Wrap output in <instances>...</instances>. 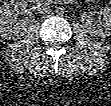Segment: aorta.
Returning <instances> with one entry per match:
<instances>
[{
    "mask_svg": "<svg viewBox=\"0 0 111 106\" xmlns=\"http://www.w3.org/2000/svg\"><path fill=\"white\" fill-rule=\"evenodd\" d=\"M56 13H57L58 15H62V14L64 13V8H63V7H57V8H56Z\"/></svg>",
    "mask_w": 111,
    "mask_h": 106,
    "instance_id": "obj_1",
    "label": "aorta"
}]
</instances>
